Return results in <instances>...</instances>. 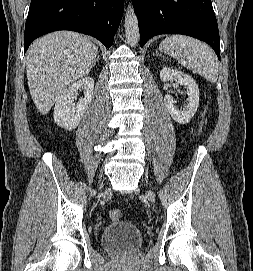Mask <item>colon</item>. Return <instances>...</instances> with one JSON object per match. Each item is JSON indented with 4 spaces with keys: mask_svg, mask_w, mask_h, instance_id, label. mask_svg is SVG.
<instances>
[{
    "mask_svg": "<svg viewBox=\"0 0 253 271\" xmlns=\"http://www.w3.org/2000/svg\"><path fill=\"white\" fill-rule=\"evenodd\" d=\"M202 126H203V123H202ZM109 216L114 221L120 220L122 218V211L119 209H114L110 211Z\"/></svg>",
    "mask_w": 253,
    "mask_h": 271,
    "instance_id": "colon-1",
    "label": "colon"
}]
</instances>
